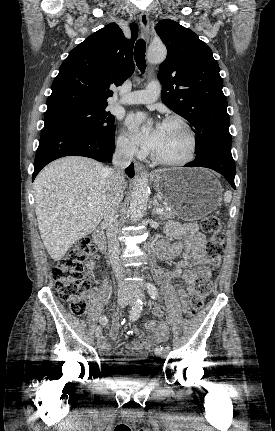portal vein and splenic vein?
Masks as SVG:
<instances>
[{"label": "portal vein and splenic vein", "instance_id": "1", "mask_svg": "<svg viewBox=\"0 0 275 431\" xmlns=\"http://www.w3.org/2000/svg\"><path fill=\"white\" fill-rule=\"evenodd\" d=\"M163 212H164L163 208H160V209L157 210V214H159V215H161Z\"/></svg>", "mask_w": 275, "mask_h": 431}]
</instances>
